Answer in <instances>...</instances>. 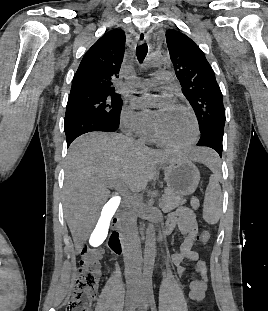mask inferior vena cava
<instances>
[{"label":"inferior vena cava","mask_w":268,"mask_h":311,"mask_svg":"<svg viewBox=\"0 0 268 311\" xmlns=\"http://www.w3.org/2000/svg\"><path fill=\"white\" fill-rule=\"evenodd\" d=\"M124 245L126 251L124 253V263L127 270L131 267L135 268L133 278L128 273V286L137 287L141 276V251L139 248V237L137 228V216L129 206L124 213Z\"/></svg>","instance_id":"obj_1"}]
</instances>
